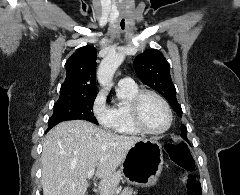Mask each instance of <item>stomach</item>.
Segmentation results:
<instances>
[{"label":"stomach","instance_id":"0dacf381","mask_svg":"<svg viewBox=\"0 0 240 195\" xmlns=\"http://www.w3.org/2000/svg\"><path fill=\"white\" fill-rule=\"evenodd\" d=\"M164 159L157 137H143L127 151L121 163V175L132 185L151 187L157 183Z\"/></svg>","mask_w":240,"mask_h":195}]
</instances>
